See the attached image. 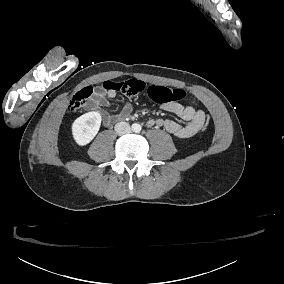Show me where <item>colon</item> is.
Masks as SVG:
<instances>
[{
  "instance_id": "5ec220e1",
  "label": "colon",
  "mask_w": 284,
  "mask_h": 284,
  "mask_svg": "<svg viewBox=\"0 0 284 284\" xmlns=\"http://www.w3.org/2000/svg\"><path fill=\"white\" fill-rule=\"evenodd\" d=\"M101 89L107 91H120L128 95L138 94L142 92L146 83L142 80L132 79L125 82H117L114 80H105L98 84ZM93 92L92 86H86L75 92L70 100V108L73 111L79 110L86 98ZM151 97L159 103H166L167 101H181L186 97V93L181 88H165L163 86H155L151 90ZM212 123L211 116H206L205 127L202 128V133L208 132V126ZM207 126V127H206Z\"/></svg>"
}]
</instances>
